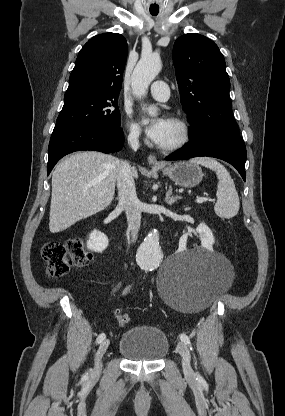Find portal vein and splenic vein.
Segmentation results:
<instances>
[{"instance_id":"1","label":"portal vein and splenic vein","mask_w":285,"mask_h":416,"mask_svg":"<svg viewBox=\"0 0 285 416\" xmlns=\"http://www.w3.org/2000/svg\"><path fill=\"white\" fill-rule=\"evenodd\" d=\"M208 198H197V204H203V202H207Z\"/></svg>"}]
</instances>
